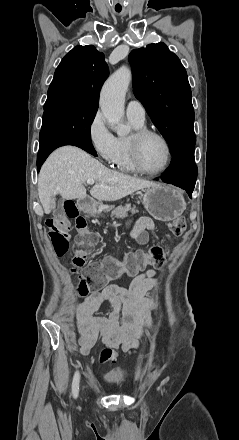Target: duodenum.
Segmentation results:
<instances>
[{"mask_svg": "<svg viewBox=\"0 0 239 440\" xmlns=\"http://www.w3.org/2000/svg\"><path fill=\"white\" fill-rule=\"evenodd\" d=\"M79 207L83 212H88L90 209V199L88 197L80 198Z\"/></svg>", "mask_w": 239, "mask_h": 440, "instance_id": "410a0bca", "label": "duodenum"}]
</instances>
